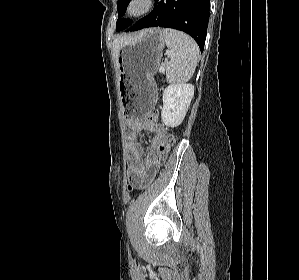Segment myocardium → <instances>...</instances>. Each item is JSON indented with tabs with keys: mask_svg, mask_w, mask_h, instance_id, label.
Wrapping results in <instances>:
<instances>
[{
	"mask_svg": "<svg viewBox=\"0 0 299 280\" xmlns=\"http://www.w3.org/2000/svg\"><path fill=\"white\" fill-rule=\"evenodd\" d=\"M154 7V0H129L126 14L131 19H140L148 15Z\"/></svg>",
	"mask_w": 299,
	"mask_h": 280,
	"instance_id": "myocardium-1",
	"label": "myocardium"
}]
</instances>
